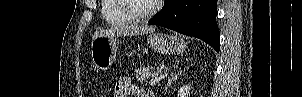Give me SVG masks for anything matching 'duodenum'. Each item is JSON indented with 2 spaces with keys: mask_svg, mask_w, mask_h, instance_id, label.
Instances as JSON below:
<instances>
[{
  "mask_svg": "<svg viewBox=\"0 0 302 97\" xmlns=\"http://www.w3.org/2000/svg\"><path fill=\"white\" fill-rule=\"evenodd\" d=\"M142 97H147V95H146V94H144V95H142Z\"/></svg>",
  "mask_w": 302,
  "mask_h": 97,
  "instance_id": "obj_1",
  "label": "duodenum"
}]
</instances>
